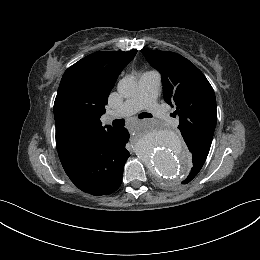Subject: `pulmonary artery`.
Returning <instances> with one entry per match:
<instances>
[{"label": "pulmonary artery", "instance_id": "obj_1", "mask_svg": "<svg viewBox=\"0 0 260 260\" xmlns=\"http://www.w3.org/2000/svg\"><path fill=\"white\" fill-rule=\"evenodd\" d=\"M160 86L161 77L159 73L154 71L143 73L140 77V85L137 94L133 98L125 101L116 111L111 113V116L124 118L141 109H146L160 118L163 122L170 121L165 111L156 103Z\"/></svg>", "mask_w": 260, "mask_h": 260}]
</instances>
